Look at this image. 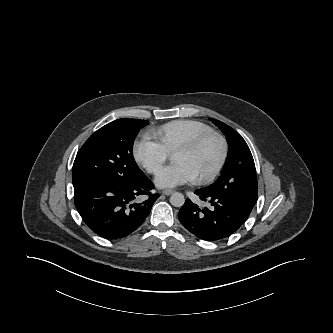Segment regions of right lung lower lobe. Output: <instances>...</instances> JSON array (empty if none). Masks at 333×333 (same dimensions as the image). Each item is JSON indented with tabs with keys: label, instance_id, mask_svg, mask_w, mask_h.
Masks as SVG:
<instances>
[{
	"label": "right lung lower lobe",
	"instance_id": "1",
	"mask_svg": "<svg viewBox=\"0 0 333 333\" xmlns=\"http://www.w3.org/2000/svg\"><path fill=\"white\" fill-rule=\"evenodd\" d=\"M141 172L129 184L94 183L74 188V202L85 224L97 235L118 240L134 232L150 213L158 193ZM142 195H150L143 202Z\"/></svg>",
	"mask_w": 333,
	"mask_h": 333
}]
</instances>
